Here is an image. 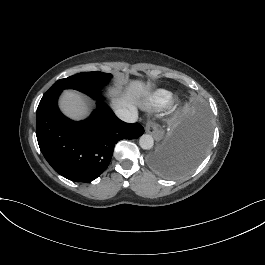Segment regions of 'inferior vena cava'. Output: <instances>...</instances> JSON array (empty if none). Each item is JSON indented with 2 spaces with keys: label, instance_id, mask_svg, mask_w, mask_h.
<instances>
[{
  "label": "inferior vena cava",
  "instance_id": "obj_1",
  "mask_svg": "<svg viewBox=\"0 0 265 265\" xmlns=\"http://www.w3.org/2000/svg\"><path fill=\"white\" fill-rule=\"evenodd\" d=\"M114 112L118 118L125 122L134 123L138 119L137 109L130 111L127 108H116Z\"/></svg>",
  "mask_w": 265,
  "mask_h": 265
}]
</instances>
